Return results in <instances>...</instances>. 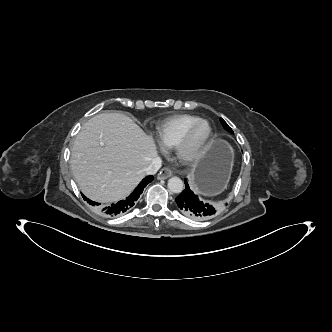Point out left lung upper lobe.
<instances>
[{
	"instance_id": "1",
	"label": "left lung upper lobe",
	"mask_w": 332,
	"mask_h": 332,
	"mask_svg": "<svg viewBox=\"0 0 332 332\" xmlns=\"http://www.w3.org/2000/svg\"><path fill=\"white\" fill-rule=\"evenodd\" d=\"M221 124L222 126L229 132L233 133L232 129L228 126V124L222 119L220 118Z\"/></svg>"
}]
</instances>
